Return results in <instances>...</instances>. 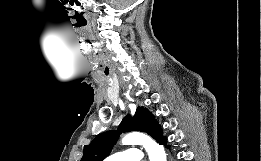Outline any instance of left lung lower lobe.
I'll use <instances>...</instances> for the list:
<instances>
[{"mask_svg":"<svg viewBox=\"0 0 261 161\" xmlns=\"http://www.w3.org/2000/svg\"><path fill=\"white\" fill-rule=\"evenodd\" d=\"M159 144H161V145H166V139L165 138H163L160 142H158Z\"/></svg>","mask_w":261,"mask_h":161,"instance_id":"1","label":"left lung lower lobe"}]
</instances>
